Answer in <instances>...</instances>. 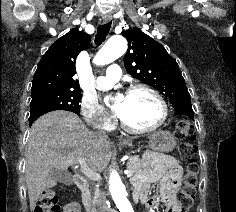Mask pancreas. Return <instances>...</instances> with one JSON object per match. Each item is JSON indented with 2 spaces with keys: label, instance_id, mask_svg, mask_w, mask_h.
Returning <instances> with one entry per match:
<instances>
[{
  "label": "pancreas",
  "instance_id": "obj_1",
  "mask_svg": "<svg viewBox=\"0 0 236 212\" xmlns=\"http://www.w3.org/2000/svg\"><path fill=\"white\" fill-rule=\"evenodd\" d=\"M127 168L132 173V175L137 173L141 169V161L139 156L131 157L129 162L127 163ZM99 195V189L98 186H96L93 195L89 193L88 197L92 199L93 203H97Z\"/></svg>",
  "mask_w": 236,
  "mask_h": 212
}]
</instances>
